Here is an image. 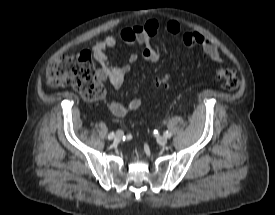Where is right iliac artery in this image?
Wrapping results in <instances>:
<instances>
[{"label": "right iliac artery", "mask_w": 275, "mask_h": 215, "mask_svg": "<svg viewBox=\"0 0 275 215\" xmlns=\"http://www.w3.org/2000/svg\"><path fill=\"white\" fill-rule=\"evenodd\" d=\"M114 133L113 132H111L109 135H108V139H113L114 138Z\"/></svg>", "instance_id": "right-iliac-artery-1"}]
</instances>
